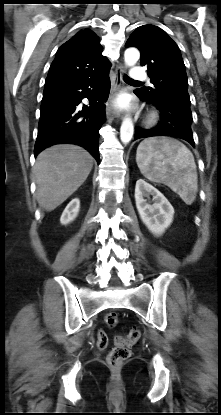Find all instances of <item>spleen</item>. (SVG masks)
Instances as JSON below:
<instances>
[{"mask_svg": "<svg viewBox=\"0 0 221 415\" xmlns=\"http://www.w3.org/2000/svg\"><path fill=\"white\" fill-rule=\"evenodd\" d=\"M136 162L148 180L167 185L187 205L194 202L198 190L196 164L183 143L167 137L144 139L137 148Z\"/></svg>", "mask_w": 221, "mask_h": 415, "instance_id": "obj_1", "label": "spleen"}]
</instances>
